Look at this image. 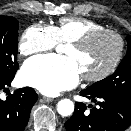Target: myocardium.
<instances>
[{
	"label": "myocardium",
	"mask_w": 131,
	"mask_h": 131,
	"mask_svg": "<svg viewBox=\"0 0 131 131\" xmlns=\"http://www.w3.org/2000/svg\"><path fill=\"white\" fill-rule=\"evenodd\" d=\"M101 35H110L114 37L117 40L118 48L114 56V59L112 60V62L109 64V66L106 69L94 75L82 74L83 79L86 81L98 82V81L104 80L116 70V68L118 67L123 57L124 47H125L124 39L118 32L114 30L101 28V29L90 31L82 35L81 37L68 43L69 45H72V46L84 47L91 40Z\"/></svg>",
	"instance_id": "myocardium-1"
}]
</instances>
